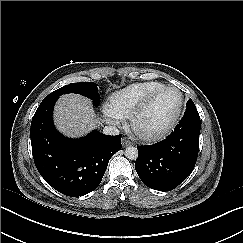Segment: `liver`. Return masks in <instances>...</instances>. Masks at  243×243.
I'll return each mask as SVG.
<instances>
[{
    "label": "liver",
    "mask_w": 243,
    "mask_h": 243,
    "mask_svg": "<svg viewBox=\"0 0 243 243\" xmlns=\"http://www.w3.org/2000/svg\"><path fill=\"white\" fill-rule=\"evenodd\" d=\"M54 122L60 132L71 138L89 133L100 123L91 101L77 94H66L58 99Z\"/></svg>",
    "instance_id": "6515ba94"
}]
</instances>
